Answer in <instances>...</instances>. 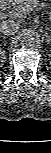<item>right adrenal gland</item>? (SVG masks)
<instances>
[{
  "label": "right adrenal gland",
  "instance_id": "obj_1",
  "mask_svg": "<svg viewBox=\"0 0 51 153\" xmlns=\"http://www.w3.org/2000/svg\"><path fill=\"white\" fill-rule=\"evenodd\" d=\"M0 38H1V40H5V36H1Z\"/></svg>",
  "mask_w": 51,
  "mask_h": 153
}]
</instances>
